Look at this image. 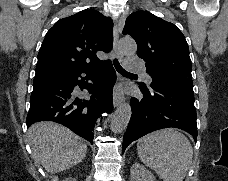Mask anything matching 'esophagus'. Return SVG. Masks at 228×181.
Returning a JSON list of instances; mask_svg holds the SVG:
<instances>
[{"instance_id":"esophagus-1","label":"esophagus","mask_w":228,"mask_h":181,"mask_svg":"<svg viewBox=\"0 0 228 181\" xmlns=\"http://www.w3.org/2000/svg\"><path fill=\"white\" fill-rule=\"evenodd\" d=\"M122 30V26L118 23L117 20H114V42H113V49L115 53L117 54V58L119 60L123 59V54L120 53L119 48H118V40H119V33ZM124 101V96L123 95H116L113 100V105L114 107H118L123 103Z\"/></svg>"}]
</instances>
